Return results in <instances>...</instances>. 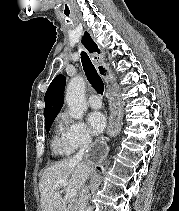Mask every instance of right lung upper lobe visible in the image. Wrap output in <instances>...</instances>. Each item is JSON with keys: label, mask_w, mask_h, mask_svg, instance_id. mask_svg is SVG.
<instances>
[{"label": "right lung upper lobe", "mask_w": 179, "mask_h": 211, "mask_svg": "<svg viewBox=\"0 0 179 211\" xmlns=\"http://www.w3.org/2000/svg\"><path fill=\"white\" fill-rule=\"evenodd\" d=\"M101 74H104L103 66L99 67ZM66 79L63 75L56 76L49 85L45 94V120L56 117L64 102V88Z\"/></svg>", "instance_id": "cb5924a9"}]
</instances>
